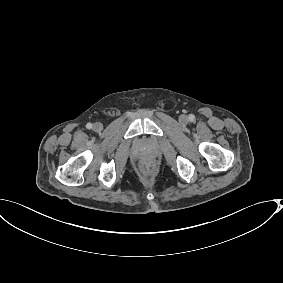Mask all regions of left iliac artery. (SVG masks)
<instances>
[{
    "label": "left iliac artery",
    "mask_w": 283,
    "mask_h": 283,
    "mask_svg": "<svg viewBox=\"0 0 283 283\" xmlns=\"http://www.w3.org/2000/svg\"><path fill=\"white\" fill-rule=\"evenodd\" d=\"M194 119H195V116H194L193 114H190V115H189V120H190V121H193Z\"/></svg>",
    "instance_id": "1"
}]
</instances>
